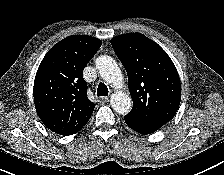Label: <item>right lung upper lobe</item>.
I'll return each instance as SVG.
<instances>
[{
	"instance_id": "right-lung-upper-lobe-1",
	"label": "right lung upper lobe",
	"mask_w": 224,
	"mask_h": 175,
	"mask_svg": "<svg viewBox=\"0 0 224 175\" xmlns=\"http://www.w3.org/2000/svg\"><path fill=\"white\" fill-rule=\"evenodd\" d=\"M102 42L87 35L69 36L43 58L34 81V103L51 131L70 135L89 121L94 103L87 97L83 69Z\"/></svg>"
}]
</instances>
